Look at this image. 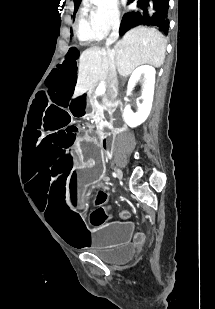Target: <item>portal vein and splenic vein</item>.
Returning a JSON list of instances; mask_svg holds the SVG:
<instances>
[{"mask_svg":"<svg viewBox=\"0 0 215 309\" xmlns=\"http://www.w3.org/2000/svg\"><path fill=\"white\" fill-rule=\"evenodd\" d=\"M106 88L104 86V84H102V86H97L96 90H95V94H97V96H99V94H104Z\"/></svg>","mask_w":215,"mask_h":309,"instance_id":"1","label":"portal vein and splenic vein"}]
</instances>
